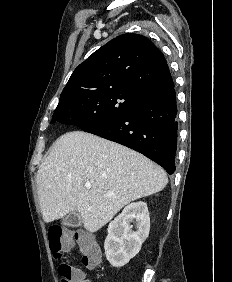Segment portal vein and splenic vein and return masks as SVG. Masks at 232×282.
<instances>
[{
  "label": "portal vein and splenic vein",
  "mask_w": 232,
  "mask_h": 282,
  "mask_svg": "<svg viewBox=\"0 0 232 282\" xmlns=\"http://www.w3.org/2000/svg\"><path fill=\"white\" fill-rule=\"evenodd\" d=\"M85 186H86L87 189H90V188H91V185H90V184H86ZM107 195H110V194H107Z\"/></svg>",
  "instance_id": "portal-vein-and-splenic-vein-1"
}]
</instances>
